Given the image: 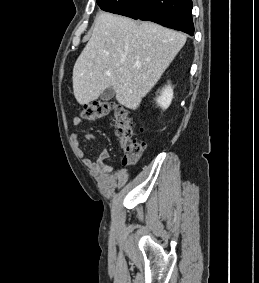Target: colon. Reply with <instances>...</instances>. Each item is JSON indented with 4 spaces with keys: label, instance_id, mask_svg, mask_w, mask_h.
<instances>
[{
    "label": "colon",
    "instance_id": "5ec220e1",
    "mask_svg": "<svg viewBox=\"0 0 259 283\" xmlns=\"http://www.w3.org/2000/svg\"><path fill=\"white\" fill-rule=\"evenodd\" d=\"M109 114L112 115V124L121 142L123 164L133 165L140 159L145 144L135 136L133 121L125 106L111 100H99L84 105L79 112L80 118L90 121Z\"/></svg>",
    "mask_w": 259,
    "mask_h": 283
}]
</instances>
